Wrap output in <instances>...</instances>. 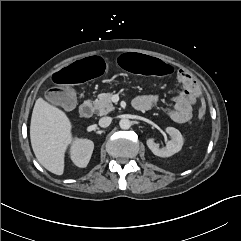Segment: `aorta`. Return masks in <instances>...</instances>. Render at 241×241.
Masks as SVG:
<instances>
[{
  "instance_id": "1",
  "label": "aorta",
  "mask_w": 241,
  "mask_h": 241,
  "mask_svg": "<svg viewBox=\"0 0 241 241\" xmlns=\"http://www.w3.org/2000/svg\"><path fill=\"white\" fill-rule=\"evenodd\" d=\"M120 128L121 129H129L131 127V121L128 119H121L119 122Z\"/></svg>"
}]
</instances>
